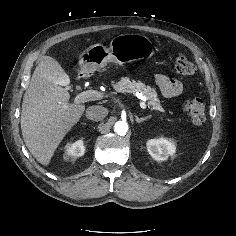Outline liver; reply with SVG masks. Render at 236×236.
I'll list each match as a JSON object with an SVG mask.
<instances>
[{"label":"liver","mask_w":236,"mask_h":236,"mask_svg":"<svg viewBox=\"0 0 236 236\" xmlns=\"http://www.w3.org/2000/svg\"><path fill=\"white\" fill-rule=\"evenodd\" d=\"M45 69L46 64L40 60L24 94L21 130L31 154L47 166L60 142L79 121L85 105L69 103L68 91L51 81Z\"/></svg>","instance_id":"liver-1"}]
</instances>
